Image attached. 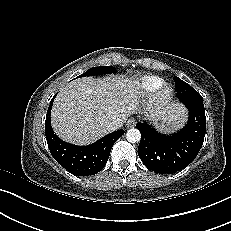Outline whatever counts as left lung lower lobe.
Here are the masks:
<instances>
[{
	"label": "left lung lower lobe",
	"mask_w": 231,
	"mask_h": 231,
	"mask_svg": "<svg viewBox=\"0 0 231 231\" xmlns=\"http://www.w3.org/2000/svg\"><path fill=\"white\" fill-rule=\"evenodd\" d=\"M189 110V120L179 132L164 135L146 122L137 123L141 133L138 155L144 165L159 174L176 173L198 155L206 131L203 100H180Z\"/></svg>",
	"instance_id": "obj_1"
}]
</instances>
